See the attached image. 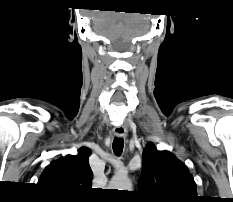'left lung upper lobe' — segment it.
<instances>
[{"instance_id": "5c2ea615", "label": "left lung upper lobe", "mask_w": 233, "mask_h": 202, "mask_svg": "<svg viewBox=\"0 0 233 202\" xmlns=\"http://www.w3.org/2000/svg\"><path fill=\"white\" fill-rule=\"evenodd\" d=\"M145 202H197V189L187 166L149 143L143 152L139 182Z\"/></svg>"}]
</instances>
